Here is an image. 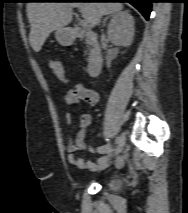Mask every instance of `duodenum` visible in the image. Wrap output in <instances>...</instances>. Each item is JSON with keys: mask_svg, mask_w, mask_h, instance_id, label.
<instances>
[{"mask_svg": "<svg viewBox=\"0 0 188 213\" xmlns=\"http://www.w3.org/2000/svg\"><path fill=\"white\" fill-rule=\"evenodd\" d=\"M74 37H83L91 43L90 61L88 63V73L91 77L100 74L103 67V54L100 48L99 40L96 34L75 28L73 30Z\"/></svg>", "mask_w": 188, "mask_h": 213, "instance_id": "duodenum-1", "label": "duodenum"}]
</instances>
